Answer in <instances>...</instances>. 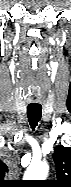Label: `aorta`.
Segmentation results:
<instances>
[{
    "label": "aorta",
    "mask_w": 71,
    "mask_h": 187,
    "mask_svg": "<svg viewBox=\"0 0 71 187\" xmlns=\"http://www.w3.org/2000/svg\"><path fill=\"white\" fill-rule=\"evenodd\" d=\"M49 166L46 162L32 163L27 168L24 178L26 180H45Z\"/></svg>",
    "instance_id": "obj_1"
}]
</instances>
